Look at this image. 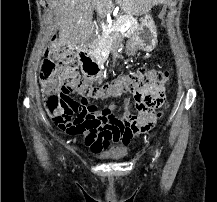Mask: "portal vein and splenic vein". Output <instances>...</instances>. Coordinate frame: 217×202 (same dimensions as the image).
<instances>
[{
    "label": "portal vein and splenic vein",
    "mask_w": 217,
    "mask_h": 202,
    "mask_svg": "<svg viewBox=\"0 0 217 202\" xmlns=\"http://www.w3.org/2000/svg\"><path fill=\"white\" fill-rule=\"evenodd\" d=\"M126 28H129V26H131V22H127V24H125Z\"/></svg>",
    "instance_id": "1"
}]
</instances>
